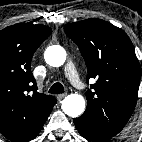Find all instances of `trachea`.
<instances>
[{
	"instance_id": "trachea-1",
	"label": "trachea",
	"mask_w": 142,
	"mask_h": 142,
	"mask_svg": "<svg viewBox=\"0 0 142 142\" xmlns=\"http://www.w3.org/2000/svg\"><path fill=\"white\" fill-rule=\"evenodd\" d=\"M49 93L52 94H60V93H64V87L61 83L57 82L54 83L51 88L49 89Z\"/></svg>"
}]
</instances>
